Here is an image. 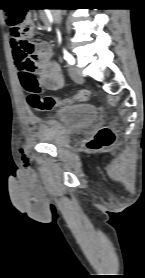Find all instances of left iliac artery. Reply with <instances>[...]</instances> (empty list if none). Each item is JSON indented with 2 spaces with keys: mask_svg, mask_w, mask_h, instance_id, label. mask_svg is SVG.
I'll return each mask as SVG.
<instances>
[{
  "mask_svg": "<svg viewBox=\"0 0 145 278\" xmlns=\"http://www.w3.org/2000/svg\"><path fill=\"white\" fill-rule=\"evenodd\" d=\"M64 58L68 62V64H70V65H74L75 64V59L66 50H64Z\"/></svg>",
  "mask_w": 145,
  "mask_h": 278,
  "instance_id": "obj_1",
  "label": "left iliac artery"
}]
</instances>
